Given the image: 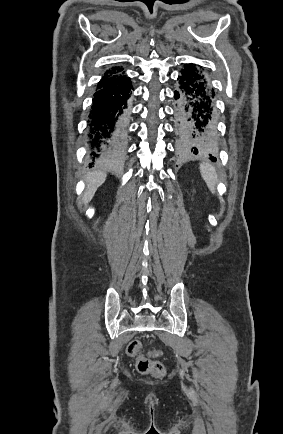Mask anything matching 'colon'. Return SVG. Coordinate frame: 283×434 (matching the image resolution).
Listing matches in <instances>:
<instances>
[{
	"label": "colon",
	"instance_id": "colon-1",
	"mask_svg": "<svg viewBox=\"0 0 283 434\" xmlns=\"http://www.w3.org/2000/svg\"><path fill=\"white\" fill-rule=\"evenodd\" d=\"M142 345L138 340H132L127 345V354L136 358V368L141 374L162 377L165 374L164 366L149 357L142 355Z\"/></svg>",
	"mask_w": 283,
	"mask_h": 434
}]
</instances>
